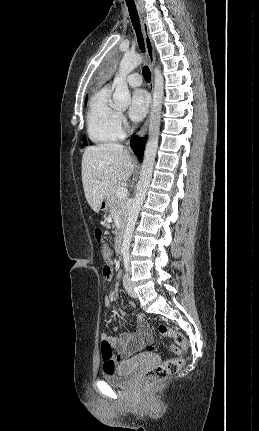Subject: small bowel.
Here are the masks:
<instances>
[{"instance_id":"obj_1","label":"small bowel","mask_w":259,"mask_h":431,"mask_svg":"<svg viewBox=\"0 0 259 431\" xmlns=\"http://www.w3.org/2000/svg\"><path fill=\"white\" fill-rule=\"evenodd\" d=\"M102 274V278L105 281H108L112 276V271L109 267H104ZM112 302L113 299L111 296H107L104 299V305L106 307H111ZM136 319L139 330L135 334L123 333L117 336L115 334L103 333L101 335L102 342L106 341L111 345V347L116 349V353H114L112 350V354L109 357L102 355L104 368L107 365H113V367L116 368V366L119 364L130 363L134 356L138 354L144 348V346L151 342L152 336L148 325L144 320V317L142 315H137ZM116 330L117 328H115V331Z\"/></svg>"}]
</instances>
